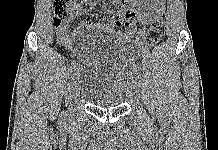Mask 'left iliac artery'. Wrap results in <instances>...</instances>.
<instances>
[{
  "label": "left iliac artery",
  "mask_w": 218,
  "mask_h": 150,
  "mask_svg": "<svg viewBox=\"0 0 218 150\" xmlns=\"http://www.w3.org/2000/svg\"><path fill=\"white\" fill-rule=\"evenodd\" d=\"M135 75H136V76H142V75H143V72H142V71H136V72H135Z\"/></svg>",
  "instance_id": "1"
}]
</instances>
